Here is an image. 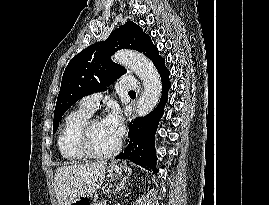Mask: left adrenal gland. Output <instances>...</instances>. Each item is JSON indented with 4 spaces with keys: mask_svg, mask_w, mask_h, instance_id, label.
Instances as JSON below:
<instances>
[{
    "mask_svg": "<svg viewBox=\"0 0 269 205\" xmlns=\"http://www.w3.org/2000/svg\"><path fill=\"white\" fill-rule=\"evenodd\" d=\"M128 176L123 178V180L118 184V186L116 187V192L120 193L121 189L125 188L126 186V182L128 181Z\"/></svg>",
    "mask_w": 269,
    "mask_h": 205,
    "instance_id": "1",
    "label": "left adrenal gland"
}]
</instances>
